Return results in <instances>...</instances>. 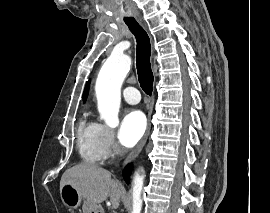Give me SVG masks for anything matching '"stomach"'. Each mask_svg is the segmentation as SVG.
<instances>
[{
	"label": "stomach",
	"instance_id": "stomach-1",
	"mask_svg": "<svg viewBox=\"0 0 270 213\" xmlns=\"http://www.w3.org/2000/svg\"><path fill=\"white\" fill-rule=\"evenodd\" d=\"M60 196L63 203L71 209H77L82 205V213H103L101 206L83 199L71 183H66L61 187Z\"/></svg>",
	"mask_w": 270,
	"mask_h": 213
}]
</instances>
